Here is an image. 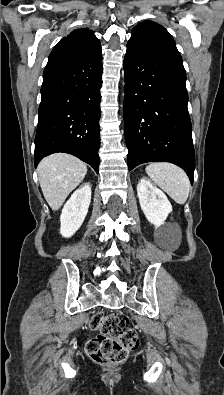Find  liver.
Instances as JSON below:
<instances>
[{"mask_svg": "<svg viewBox=\"0 0 224 395\" xmlns=\"http://www.w3.org/2000/svg\"><path fill=\"white\" fill-rule=\"evenodd\" d=\"M37 173L43 195L51 209L56 211L83 181L87 166L72 155L56 153L42 159Z\"/></svg>", "mask_w": 224, "mask_h": 395, "instance_id": "6515ba94", "label": "liver"}]
</instances>
